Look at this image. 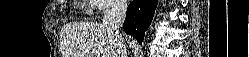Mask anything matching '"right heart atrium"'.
<instances>
[{
    "instance_id": "obj_1",
    "label": "right heart atrium",
    "mask_w": 249,
    "mask_h": 57,
    "mask_svg": "<svg viewBox=\"0 0 249 57\" xmlns=\"http://www.w3.org/2000/svg\"><path fill=\"white\" fill-rule=\"evenodd\" d=\"M93 5L100 14H107L111 11L119 9L122 3L120 1L113 0H93Z\"/></svg>"
}]
</instances>
